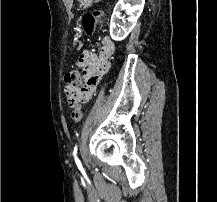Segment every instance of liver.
Masks as SVG:
<instances>
[{
  "label": "liver",
  "instance_id": "6515ba94",
  "mask_svg": "<svg viewBox=\"0 0 217 202\" xmlns=\"http://www.w3.org/2000/svg\"><path fill=\"white\" fill-rule=\"evenodd\" d=\"M62 2H64L66 8H67V12H70L71 10V6L73 4V0H62Z\"/></svg>",
  "mask_w": 217,
  "mask_h": 202
}]
</instances>
